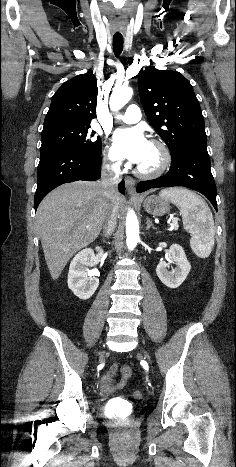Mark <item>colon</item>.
Wrapping results in <instances>:
<instances>
[{
    "label": "colon",
    "instance_id": "5ec220e1",
    "mask_svg": "<svg viewBox=\"0 0 236 467\" xmlns=\"http://www.w3.org/2000/svg\"><path fill=\"white\" fill-rule=\"evenodd\" d=\"M134 397L136 399H141L143 397V393L141 391H135L134 392Z\"/></svg>",
    "mask_w": 236,
    "mask_h": 467
}]
</instances>
